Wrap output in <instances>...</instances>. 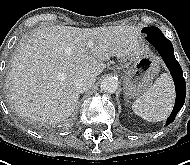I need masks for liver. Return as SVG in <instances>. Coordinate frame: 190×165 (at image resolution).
Returning <instances> with one entry per match:
<instances>
[{
  "label": "liver",
  "mask_w": 190,
  "mask_h": 165,
  "mask_svg": "<svg viewBox=\"0 0 190 165\" xmlns=\"http://www.w3.org/2000/svg\"><path fill=\"white\" fill-rule=\"evenodd\" d=\"M136 33L133 26L54 25L37 30L20 45L10 64L9 99L15 111L44 124L68 118L79 99L75 77L100 75L113 56L138 58Z\"/></svg>",
  "instance_id": "1"
}]
</instances>
